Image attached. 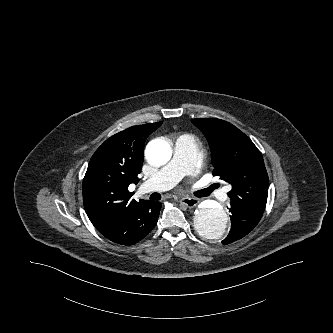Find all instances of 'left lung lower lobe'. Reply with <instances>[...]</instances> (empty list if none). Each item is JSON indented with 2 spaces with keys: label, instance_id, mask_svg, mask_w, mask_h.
Returning <instances> with one entry per match:
<instances>
[{
  "label": "left lung lower lobe",
  "instance_id": "obj_1",
  "mask_svg": "<svg viewBox=\"0 0 333 333\" xmlns=\"http://www.w3.org/2000/svg\"><path fill=\"white\" fill-rule=\"evenodd\" d=\"M231 230L222 241L224 245L232 243L247 235L259 223L263 212L230 202Z\"/></svg>",
  "mask_w": 333,
  "mask_h": 333
}]
</instances>
